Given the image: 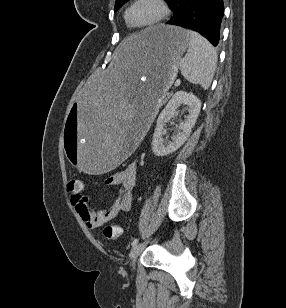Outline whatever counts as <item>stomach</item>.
Segmentation results:
<instances>
[{"label":"stomach","instance_id":"stomach-1","mask_svg":"<svg viewBox=\"0 0 286 308\" xmlns=\"http://www.w3.org/2000/svg\"><path fill=\"white\" fill-rule=\"evenodd\" d=\"M138 34L122 40L65 118L63 149L75 173L103 177L121 168L154 125L155 107L177 76L190 43L186 30L161 24Z\"/></svg>","mask_w":286,"mask_h":308}]
</instances>
